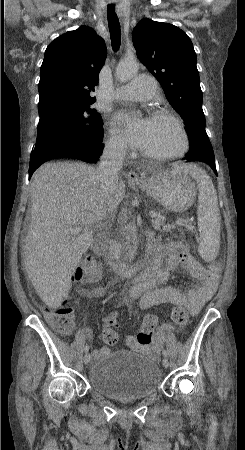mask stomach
I'll list each match as a JSON object with an SVG mask.
<instances>
[{
  "instance_id": "obj_1",
  "label": "stomach",
  "mask_w": 245,
  "mask_h": 450,
  "mask_svg": "<svg viewBox=\"0 0 245 450\" xmlns=\"http://www.w3.org/2000/svg\"><path fill=\"white\" fill-rule=\"evenodd\" d=\"M136 185L170 212H184L196 198L195 184L183 171V166L152 171L147 179Z\"/></svg>"
}]
</instances>
